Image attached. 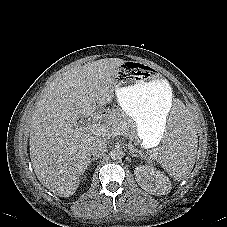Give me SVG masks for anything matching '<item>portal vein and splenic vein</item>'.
I'll return each instance as SVG.
<instances>
[{"label": "portal vein and splenic vein", "mask_w": 227, "mask_h": 227, "mask_svg": "<svg viewBox=\"0 0 227 227\" xmlns=\"http://www.w3.org/2000/svg\"><path fill=\"white\" fill-rule=\"evenodd\" d=\"M81 132H91L93 134H96L98 136H116L119 135V133L115 132V131H109L104 125L99 124V123H95V124H88L86 126L83 127H76L74 130L75 135L78 137L80 135Z\"/></svg>", "instance_id": "1"}]
</instances>
